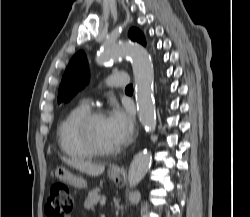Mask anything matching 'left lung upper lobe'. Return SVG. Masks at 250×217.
<instances>
[{
	"instance_id": "5c2ea615",
	"label": "left lung upper lobe",
	"mask_w": 250,
	"mask_h": 217,
	"mask_svg": "<svg viewBox=\"0 0 250 217\" xmlns=\"http://www.w3.org/2000/svg\"><path fill=\"white\" fill-rule=\"evenodd\" d=\"M129 37L131 40L141 43L142 45L146 44L143 33L136 28H132L129 31ZM88 79L89 73L86 56L83 51H80L72 57L65 70L59 87L58 103L70 101L71 98L87 84Z\"/></svg>"
}]
</instances>
